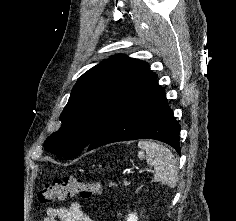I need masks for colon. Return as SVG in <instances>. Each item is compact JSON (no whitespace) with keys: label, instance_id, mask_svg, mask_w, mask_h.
<instances>
[{"label":"colon","instance_id":"1","mask_svg":"<svg viewBox=\"0 0 236 221\" xmlns=\"http://www.w3.org/2000/svg\"><path fill=\"white\" fill-rule=\"evenodd\" d=\"M100 188L99 183H88L74 176H65L45 183L38 193V202L41 205H47L56 200L77 195L83 199H88L98 194Z\"/></svg>","mask_w":236,"mask_h":221}]
</instances>
